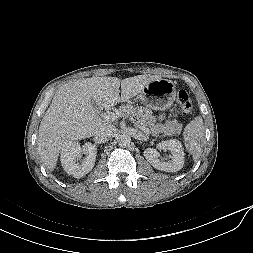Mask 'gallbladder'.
Listing matches in <instances>:
<instances>
[{"mask_svg":"<svg viewBox=\"0 0 253 253\" xmlns=\"http://www.w3.org/2000/svg\"><path fill=\"white\" fill-rule=\"evenodd\" d=\"M91 102H92V105H93L96 109H98V105L96 104V102H94L93 100H92Z\"/></svg>","mask_w":253,"mask_h":253,"instance_id":"1","label":"gallbladder"}]
</instances>
